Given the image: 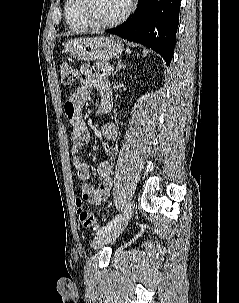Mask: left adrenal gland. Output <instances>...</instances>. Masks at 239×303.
I'll return each instance as SVG.
<instances>
[{
  "label": "left adrenal gland",
  "mask_w": 239,
  "mask_h": 303,
  "mask_svg": "<svg viewBox=\"0 0 239 303\" xmlns=\"http://www.w3.org/2000/svg\"><path fill=\"white\" fill-rule=\"evenodd\" d=\"M126 67V65H124L123 63H122V61L121 60H119L118 61V65H117V68H116V70H115V72L112 74V76H115L117 73H118V71L120 70V69H124Z\"/></svg>",
  "instance_id": "a2214340"
}]
</instances>
